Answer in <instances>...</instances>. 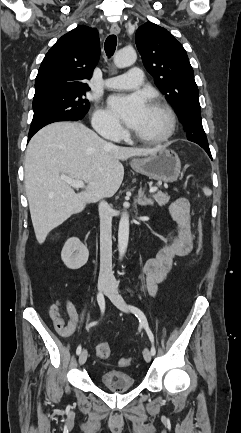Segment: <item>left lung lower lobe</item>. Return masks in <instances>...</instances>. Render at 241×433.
<instances>
[{
  "label": "left lung lower lobe",
  "mask_w": 241,
  "mask_h": 433,
  "mask_svg": "<svg viewBox=\"0 0 241 433\" xmlns=\"http://www.w3.org/2000/svg\"><path fill=\"white\" fill-rule=\"evenodd\" d=\"M202 148H203V149L208 153V155L212 158L209 147H202Z\"/></svg>",
  "instance_id": "0a47b994"
}]
</instances>
